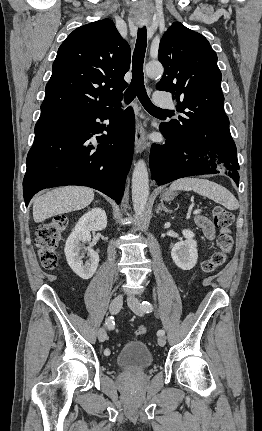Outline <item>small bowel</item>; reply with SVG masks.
I'll return each instance as SVG.
<instances>
[{
  "label": "small bowel",
  "mask_w": 262,
  "mask_h": 431,
  "mask_svg": "<svg viewBox=\"0 0 262 431\" xmlns=\"http://www.w3.org/2000/svg\"><path fill=\"white\" fill-rule=\"evenodd\" d=\"M198 226L203 231L206 238L210 241H213L216 235V229L214 224L207 217H198L197 219Z\"/></svg>",
  "instance_id": "c3829d8e"
}]
</instances>
